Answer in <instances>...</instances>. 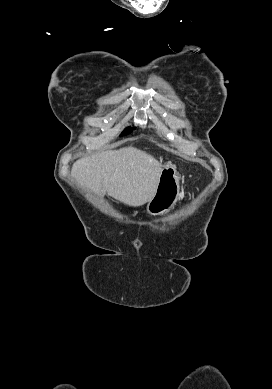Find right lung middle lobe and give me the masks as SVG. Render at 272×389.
<instances>
[{
  "instance_id": "obj_1",
  "label": "right lung middle lobe",
  "mask_w": 272,
  "mask_h": 389,
  "mask_svg": "<svg viewBox=\"0 0 272 389\" xmlns=\"http://www.w3.org/2000/svg\"><path fill=\"white\" fill-rule=\"evenodd\" d=\"M131 132H132V128H131V127H128V128H126V129L121 133L120 136L128 135V134H130Z\"/></svg>"
}]
</instances>
